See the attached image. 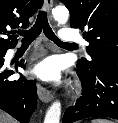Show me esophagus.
I'll list each match as a JSON object with an SVG mask.
<instances>
[{"label":"esophagus","instance_id":"34e87169","mask_svg":"<svg viewBox=\"0 0 118 123\" xmlns=\"http://www.w3.org/2000/svg\"><path fill=\"white\" fill-rule=\"evenodd\" d=\"M53 6L52 0H45L44 1V8L49 13V17L51 18L50 11ZM37 93L38 97L42 102L48 103L53 99V94L51 91L46 89L45 87L41 86L40 84L37 85Z\"/></svg>","mask_w":118,"mask_h":123}]
</instances>
